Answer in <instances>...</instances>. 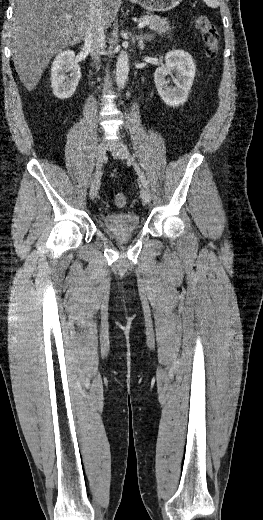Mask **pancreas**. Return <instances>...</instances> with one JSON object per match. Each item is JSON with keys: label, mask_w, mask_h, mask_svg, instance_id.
<instances>
[{"label": "pancreas", "mask_w": 263, "mask_h": 520, "mask_svg": "<svg viewBox=\"0 0 263 520\" xmlns=\"http://www.w3.org/2000/svg\"><path fill=\"white\" fill-rule=\"evenodd\" d=\"M139 21H148L146 26L157 33H165L171 29L167 18H161L157 15H144Z\"/></svg>", "instance_id": "cf45deb5"}]
</instances>
